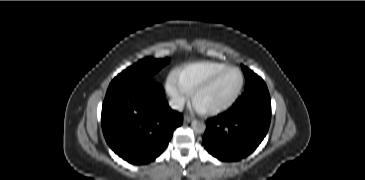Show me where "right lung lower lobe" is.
Listing matches in <instances>:
<instances>
[{"instance_id":"right-lung-lower-lobe-1","label":"right lung lower lobe","mask_w":365,"mask_h":180,"mask_svg":"<svg viewBox=\"0 0 365 180\" xmlns=\"http://www.w3.org/2000/svg\"><path fill=\"white\" fill-rule=\"evenodd\" d=\"M101 120L110 148L127 162L141 165L165 150L183 116L170 109L162 86L143 80L107 90Z\"/></svg>"}]
</instances>
